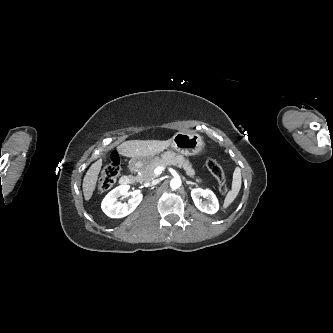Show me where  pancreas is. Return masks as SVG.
Returning <instances> with one entry per match:
<instances>
[{"instance_id": "pancreas-1", "label": "pancreas", "mask_w": 333, "mask_h": 333, "mask_svg": "<svg viewBox=\"0 0 333 333\" xmlns=\"http://www.w3.org/2000/svg\"><path fill=\"white\" fill-rule=\"evenodd\" d=\"M174 165L178 168H183L186 175L191 178L195 177V170L192 167L191 162L188 159H185L182 155L176 154L174 152L168 151L165 152L161 157H156L150 161L149 164L144 166L140 170V174L136 176V180L139 183H147L154 180L157 175L154 174L155 168L159 166H171ZM196 182L201 183L202 179L197 177Z\"/></svg>"}]
</instances>
